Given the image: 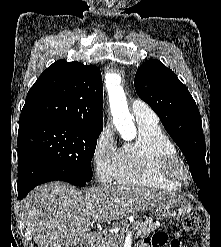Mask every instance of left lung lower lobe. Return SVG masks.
I'll return each mask as SVG.
<instances>
[{
    "mask_svg": "<svg viewBox=\"0 0 221 247\" xmlns=\"http://www.w3.org/2000/svg\"><path fill=\"white\" fill-rule=\"evenodd\" d=\"M198 197L201 200L204 207L208 210L211 199L210 191L208 189H200V191L198 192Z\"/></svg>",
    "mask_w": 221,
    "mask_h": 247,
    "instance_id": "0a47b994",
    "label": "left lung lower lobe"
}]
</instances>
